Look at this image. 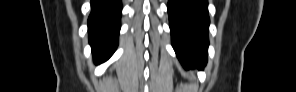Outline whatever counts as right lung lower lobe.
Listing matches in <instances>:
<instances>
[{
  "mask_svg": "<svg viewBox=\"0 0 296 92\" xmlns=\"http://www.w3.org/2000/svg\"><path fill=\"white\" fill-rule=\"evenodd\" d=\"M121 11V0H91L88 31L96 63L106 61L116 50Z\"/></svg>",
  "mask_w": 296,
  "mask_h": 92,
  "instance_id": "right-lung-lower-lobe-1",
  "label": "right lung lower lobe"
}]
</instances>
